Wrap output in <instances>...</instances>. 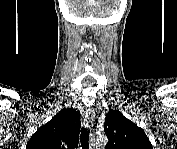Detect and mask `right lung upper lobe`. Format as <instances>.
Masks as SVG:
<instances>
[{
	"label": "right lung upper lobe",
	"mask_w": 177,
	"mask_h": 149,
	"mask_svg": "<svg viewBox=\"0 0 177 149\" xmlns=\"http://www.w3.org/2000/svg\"><path fill=\"white\" fill-rule=\"evenodd\" d=\"M79 129L80 114L73 108L63 109L32 135L27 149L76 148Z\"/></svg>",
	"instance_id": "obj_1"
}]
</instances>
